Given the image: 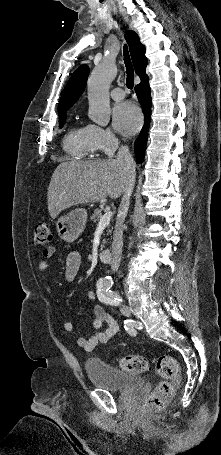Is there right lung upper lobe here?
I'll return each instance as SVG.
<instances>
[{
    "label": "right lung upper lobe",
    "mask_w": 221,
    "mask_h": 455,
    "mask_svg": "<svg viewBox=\"0 0 221 455\" xmlns=\"http://www.w3.org/2000/svg\"><path fill=\"white\" fill-rule=\"evenodd\" d=\"M125 39L130 48L135 71L141 78L145 74L147 65L145 47L140 43L139 37L134 31H126ZM88 74L89 69L86 65H82L76 69L63 90L59 100L58 110L69 109L79 99L85 89Z\"/></svg>",
    "instance_id": "cb5924a9"
}]
</instances>
